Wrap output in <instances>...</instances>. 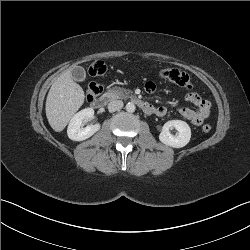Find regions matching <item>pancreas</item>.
I'll list each match as a JSON object with an SVG mask.
<instances>
[{
	"label": "pancreas",
	"mask_w": 250,
	"mask_h": 250,
	"mask_svg": "<svg viewBox=\"0 0 250 250\" xmlns=\"http://www.w3.org/2000/svg\"><path fill=\"white\" fill-rule=\"evenodd\" d=\"M130 93L131 91H128L126 89L117 86L113 87L108 91V94L112 99L126 98V95Z\"/></svg>",
	"instance_id": "obj_1"
}]
</instances>
